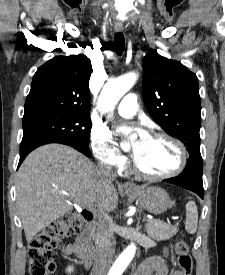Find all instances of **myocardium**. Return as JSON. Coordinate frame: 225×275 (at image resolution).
Instances as JSON below:
<instances>
[{
	"label": "myocardium",
	"mask_w": 225,
	"mask_h": 275,
	"mask_svg": "<svg viewBox=\"0 0 225 275\" xmlns=\"http://www.w3.org/2000/svg\"><path fill=\"white\" fill-rule=\"evenodd\" d=\"M149 137L165 139V140L169 141L170 143H172L178 151V157H179L178 164L170 172L163 173V174H148L140 169V167L138 166L137 162L134 159L133 160L134 173L137 176H139L143 179H146V180H164V179H169V178H172V177L180 174L184 170V168L187 164V151H186L184 144L177 138H175L165 132H154Z\"/></svg>",
	"instance_id": "obj_1"
}]
</instances>
